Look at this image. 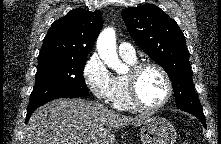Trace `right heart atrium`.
<instances>
[{
    "instance_id": "right-heart-atrium-1",
    "label": "right heart atrium",
    "mask_w": 221,
    "mask_h": 144,
    "mask_svg": "<svg viewBox=\"0 0 221 144\" xmlns=\"http://www.w3.org/2000/svg\"><path fill=\"white\" fill-rule=\"evenodd\" d=\"M83 78L88 89L99 100L110 102L116 94L115 77L98 54H92L83 68Z\"/></svg>"
}]
</instances>
